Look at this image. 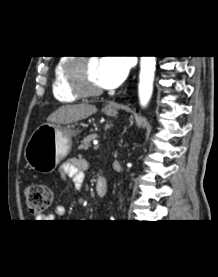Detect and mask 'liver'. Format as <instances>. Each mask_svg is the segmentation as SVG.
I'll list each match as a JSON object with an SVG mask.
<instances>
[{"label": "liver", "instance_id": "obj_1", "mask_svg": "<svg viewBox=\"0 0 218 277\" xmlns=\"http://www.w3.org/2000/svg\"><path fill=\"white\" fill-rule=\"evenodd\" d=\"M97 108L88 103L65 105L53 112L48 118V123L69 124L95 114Z\"/></svg>", "mask_w": 218, "mask_h": 277}]
</instances>
